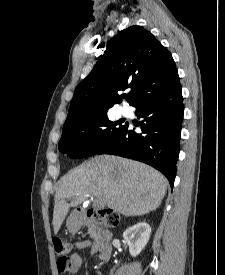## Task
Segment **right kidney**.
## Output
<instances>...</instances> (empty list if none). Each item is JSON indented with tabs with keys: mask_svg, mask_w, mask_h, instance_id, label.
Wrapping results in <instances>:
<instances>
[{
	"mask_svg": "<svg viewBox=\"0 0 225 275\" xmlns=\"http://www.w3.org/2000/svg\"><path fill=\"white\" fill-rule=\"evenodd\" d=\"M151 227L146 222H139L129 227L124 233L123 238L129 246L132 257H136L145 248L149 241Z\"/></svg>",
	"mask_w": 225,
	"mask_h": 275,
	"instance_id": "right-kidney-1",
	"label": "right kidney"
}]
</instances>
